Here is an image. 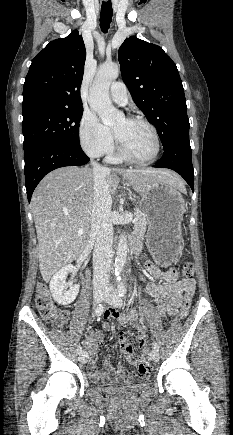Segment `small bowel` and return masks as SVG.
<instances>
[{
	"label": "small bowel",
	"instance_id": "small-bowel-1",
	"mask_svg": "<svg viewBox=\"0 0 233 435\" xmlns=\"http://www.w3.org/2000/svg\"><path fill=\"white\" fill-rule=\"evenodd\" d=\"M135 244L138 249L137 252L141 253L140 246L137 243ZM142 258L144 271L149 279L147 283V290L150 295L159 302L156 308V313L161 317L175 316L182 301L181 291L183 290V284L178 282L179 272L174 268L162 271L154 263L147 260L144 255H142ZM158 280L162 281L163 283H158ZM187 288L188 290L193 292L194 285H188ZM104 317L106 319H115L118 324L122 326H129L133 325L134 320L138 317V312L133 310L126 314H119L114 310H108L105 312ZM103 326L105 329H108L110 327V324L109 322L105 321L103 323ZM135 331L138 345L140 347H144L146 344L145 328H143L142 326H135ZM104 339L105 335L103 333L89 331L88 339L85 342V346L90 351V359L88 363L89 375L94 382L102 383L106 379L131 380L137 376L144 378L146 374L150 373V370H148L138 374H127L123 364L121 363L117 365L116 369H113L111 365V355L105 356L103 361V372H100L96 366L97 349L99 345L103 343ZM119 344L127 362L132 366H136L139 358L133 355L132 347L123 332H120L119 334ZM143 353L148 355L145 349L143 350Z\"/></svg>",
	"mask_w": 233,
	"mask_h": 435
}]
</instances>
